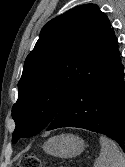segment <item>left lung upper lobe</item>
Here are the masks:
<instances>
[{
	"label": "left lung upper lobe",
	"instance_id": "left-lung-upper-lobe-1",
	"mask_svg": "<svg viewBox=\"0 0 125 167\" xmlns=\"http://www.w3.org/2000/svg\"><path fill=\"white\" fill-rule=\"evenodd\" d=\"M111 28L96 4H85L50 20L25 60L12 117V143L46 128L88 75Z\"/></svg>",
	"mask_w": 125,
	"mask_h": 167
}]
</instances>
